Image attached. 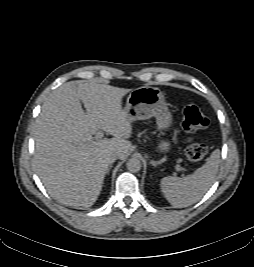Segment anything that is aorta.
<instances>
[{
	"label": "aorta",
	"mask_w": 254,
	"mask_h": 267,
	"mask_svg": "<svg viewBox=\"0 0 254 267\" xmlns=\"http://www.w3.org/2000/svg\"><path fill=\"white\" fill-rule=\"evenodd\" d=\"M127 169L132 173H137L141 170L142 164L138 158H130L127 162Z\"/></svg>",
	"instance_id": "obj_1"
}]
</instances>
